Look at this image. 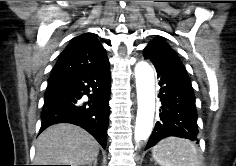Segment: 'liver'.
Masks as SVG:
<instances>
[{"label": "liver", "instance_id": "1", "mask_svg": "<svg viewBox=\"0 0 236 166\" xmlns=\"http://www.w3.org/2000/svg\"><path fill=\"white\" fill-rule=\"evenodd\" d=\"M99 153L98 142L84 129L67 123L55 124L36 141V165H90Z\"/></svg>", "mask_w": 236, "mask_h": 166}]
</instances>
